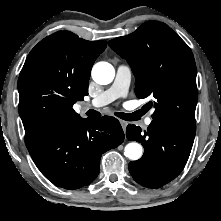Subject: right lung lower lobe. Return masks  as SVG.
<instances>
[{
    "label": "right lung lower lobe",
    "instance_id": "obj_1",
    "mask_svg": "<svg viewBox=\"0 0 221 221\" xmlns=\"http://www.w3.org/2000/svg\"><path fill=\"white\" fill-rule=\"evenodd\" d=\"M123 140L119 121L104 116L59 123L27 148L48 180L65 189H78L98 176L101 155Z\"/></svg>",
    "mask_w": 221,
    "mask_h": 221
}]
</instances>
